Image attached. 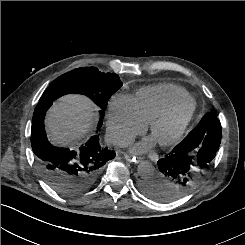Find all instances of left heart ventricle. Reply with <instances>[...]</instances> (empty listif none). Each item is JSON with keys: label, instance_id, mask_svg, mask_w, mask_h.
<instances>
[{"label": "left heart ventricle", "instance_id": "b2bd125f", "mask_svg": "<svg viewBox=\"0 0 245 245\" xmlns=\"http://www.w3.org/2000/svg\"><path fill=\"white\" fill-rule=\"evenodd\" d=\"M188 110V107L184 108L183 110L178 112L172 119L159 125L153 137L156 140H165L169 138L174 133L182 119L185 117Z\"/></svg>", "mask_w": 245, "mask_h": 245}]
</instances>
